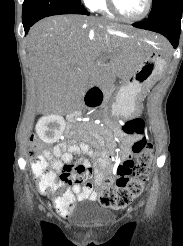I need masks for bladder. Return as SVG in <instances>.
I'll return each instance as SVG.
<instances>
[{
	"label": "bladder",
	"instance_id": "1",
	"mask_svg": "<svg viewBox=\"0 0 183 246\" xmlns=\"http://www.w3.org/2000/svg\"><path fill=\"white\" fill-rule=\"evenodd\" d=\"M110 212L101 207H90L76 216V220L81 225H99L110 218Z\"/></svg>",
	"mask_w": 183,
	"mask_h": 246
}]
</instances>
